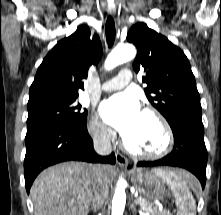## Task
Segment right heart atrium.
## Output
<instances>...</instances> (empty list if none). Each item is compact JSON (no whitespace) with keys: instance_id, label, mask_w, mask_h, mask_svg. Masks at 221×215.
<instances>
[{"instance_id":"right-heart-atrium-1","label":"right heart atrium","mask_w":221,"mask_h":215,"mask_svg":"<svg viewBox=\"0 0 221 215\" xmlns=\"http://www.w3.org/2000/svg\"><path fill=\"white\" fill-rule=\"evenodd\" d=\"M88 130L92 138L99 143L108 144L112 141V130L101 122L96 115L91 116L88 123Z\"/></svg>"}]
</instances>
